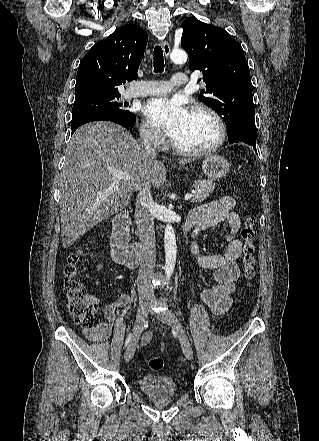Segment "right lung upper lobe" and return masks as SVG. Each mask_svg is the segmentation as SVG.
I'll return each mask as SVG.
<instances>
[{
    "instance_id": "obj_1",
    "label": "right lung upper lobe",
    "mask_w": 319,
    "mask_h": 441,
    "mask_svg": "<svg viewBox=\"0 0 319 441\" xmlns=\"http://www.w3.org/2000/svg\"><path fill=\"white\" fill-rule=\"evenodd\" d=\"M147 40L143 29L130 24L97 42L79 64L75 100L120 95V84L138 78Z\"/></svg>"
}]
</instances>
